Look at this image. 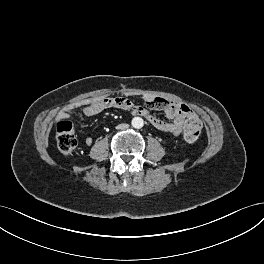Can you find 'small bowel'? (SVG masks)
I'll return each mask as SVG.
<instances>
[{
	"label": "small bowel",
	"mask_w": 264,
	"mask_h": 264,
	"mask_svg": "<svg viewBox=\"0 0 264 264\" xmlns=\"http://www.w3.org/2000/svg\"><path fill=\"white\" fill-rule=\"evenodd\" d=\"M132 93H123L119 96H101L88 98L79 102L71 103L59 112V118H67L69 113L75 109H81L86 116H94L106 109L119 108L130 112L133 115L142 113L143 116L158 130L169 132L178 136L182 131L184 119L194 117V112L185 104L168 100L165 98L155 97L151 94H142L141 97L145 103L155 109L164 111L165 116L169 121L162 120L151 114L146 108L132 103L127 97L132 96ZM93 140L91 137L86 138V144L91 145Z\"/></svg>",
	"instance_id": "obj_1"
}]
</instances>
